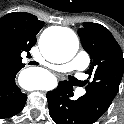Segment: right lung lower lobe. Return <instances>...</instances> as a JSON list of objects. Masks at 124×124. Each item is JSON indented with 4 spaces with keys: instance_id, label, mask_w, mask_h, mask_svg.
<instances>
[{
    "instance_id": "1",
    "label": "right lung lower lobe",
    "mask_w": 124,
    "mask_h": 124,
    "mask_svg": "<svg viewBox=\"0 0 124 124\" xmlns=\"http://www.w3.org/2000/svg\"><path fill=\"white\" fill-rule=\"evenodd\" d=\"M17 71L0 72V119L19 113L26 102L27 96L15 83Z\"/></svg>"
}]
</instances>
